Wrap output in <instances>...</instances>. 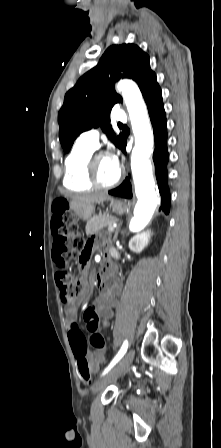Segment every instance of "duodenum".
<instances>
[{
  "label": "duodenum",
  "instance_id": "duodenum-1",
  "mask_svg": "<svg viewBox=\"0 0 221 448\" xmlns=\"http://www.w3.org/2000/svg\"><path fill=\"white\" fill-rule=\"evenodd\" d=\"M107 263L105 267L100 271L98 275V283L100 287H105L109 283V277H108V267H109V257H107Z\"/></svg>",
  "mask_w": 221,
  "mask_h": 448
}]
</instances>
